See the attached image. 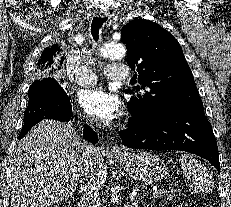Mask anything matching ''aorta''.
I'll use <instances>...</instances> for the list:
<instances>
[{"mask_svg":"<svg viewBox=\"0 0 231 207\" xmlns=\"http://www.w3.org/2000/svg\"><path fill=\"white\" fill-rule=\"evenodd\" d=\"M98 52L100 56L115 60L125 57L126 48L123 44L106 43L98 48Z\"/></svg>","mask_w":231,"mask_h":207,"instance_id":"obj_1","label":"aorta"}]
</instances>
